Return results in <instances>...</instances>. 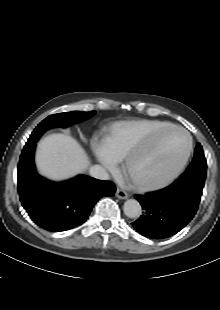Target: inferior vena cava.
<instances>
[{
	"label": "inferior vena cava",
	"instance_id": "inferior-vena-cava-1",
	"mask_svg": "<svg viewBox=\"0 0 220 310\" xmlns=\"http://www.w3.org/2000/svg\"><path fill=\"white\" fill-rule=\"evenodd\" d=\"M89 174L91 177L100 180H109V174L106 169L100 165H93L89 169Z\"/></svg>",
	"mask_w": 220,
	"mask_h": 310
}]
</instances>
